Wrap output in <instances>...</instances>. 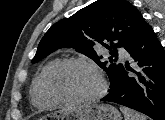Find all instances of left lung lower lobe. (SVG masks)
<instances>
[{
	"label": "left lung lower lobe",
	"instance_id": "obj_1",
	"mask_svg": "<svg viewBox=\"0 0 165 120\" xmlns=\"http://www.w3.org/2000/svg\"><path fill=\"white\" fill-rule=\"evenodd\" d=\"M135 69L122 64L118 86L101 101L114 102L165 120V52L152 27L143 22L126 45Z\"/></svg>",
	"mask_w": 165,
	"mask_h": 120
}]
</instances>
